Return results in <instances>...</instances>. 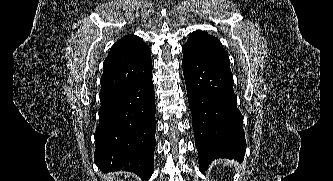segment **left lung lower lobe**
<instances>
[{"instance_id": "left-lung-lower-lobe-1", "label": "left lung lower lobe", "mask_w": 333, "mask_h": 181, "mask_svg": "<svg viewBox=\"0 0 333 181\" xmlns=\"http://www.w3.org/2000/svg\"><path fill=\"white\" fill-rule=\"evenodd\" d=\"M182 66L201 172L219 158L242 162L246 141L231 70L186 48Z\"/></svg>"}]
</instances>
